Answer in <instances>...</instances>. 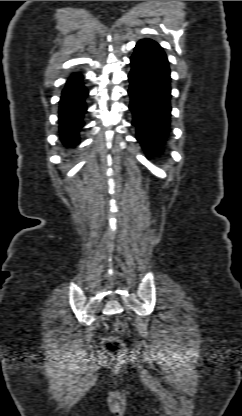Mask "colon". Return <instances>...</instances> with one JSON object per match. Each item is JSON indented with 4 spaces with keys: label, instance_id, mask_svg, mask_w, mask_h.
<instances>
[{
    "label": "colon",
    "instance_id": "5ec220e1",
    "mask_svg": "<svg viewBox=\"0 0 242 416\" xmlns=\"http://www.w3.org/2000/svg\"><path fill=\"white\" fill-rule=\"evenodd\" d=\"M114 327L118 333H124L126 330L125 325L121 322H117ZM103 347L113 355H120L124 350L123 342L116 336L106 337L103 341Z\"/></svg>",
    "mask_w": 242,
    "mask_h": 416
}]
</instances>
